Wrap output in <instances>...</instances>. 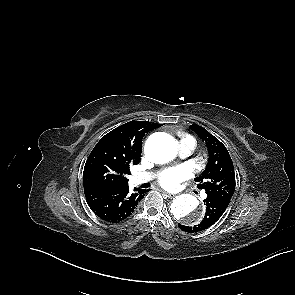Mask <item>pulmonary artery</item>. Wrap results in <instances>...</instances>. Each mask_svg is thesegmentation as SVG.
<instances>
[{
  "label": "pulmonary artery",
  "mask_w": 295,
  "mask_h": 295,
  "mask_svg": "<svg viewBox=\"0 0 295 295\" xmlns=\"http://www.w3.org/2000/svg\"><path fill=\"white\" fill-rule=\"evenodd\" d=\"M194 148H195V141H193V140L181 141L180 145H179L180 156L181 157L189 156L191 154V152L194 150ZM151 177L152 176L150 173H137L134 175L133 181L136 184H141V183H145V182H148L149 180H151ZM202 197L205 198L206 193H203Z\"/></svg>",
  "instance_id": "obj_1"
}]
</instances>
